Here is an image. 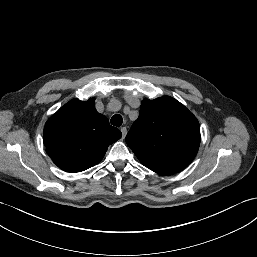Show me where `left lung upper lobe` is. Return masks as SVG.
Returning <instances> with one entry per match:
<instances>
[{"label":"left lung upper lobe","instance_id":"obj_1","mask_svg":"<svg viewBox=\"0 0 257 257\" xmlns=\"http://www.w3.org/2000/svg\"><path fill=\"white\" fill-rule=\"evenodd\" d=\"M126 143L147 168L162 175L174 174L196 156L200 125L196 117L172 97L144 99Z\"/></svg>","mask_w":257,"mask_h":257}]
</instances>
